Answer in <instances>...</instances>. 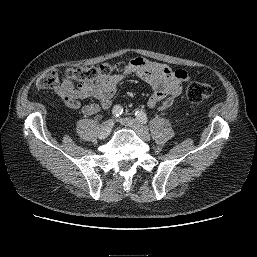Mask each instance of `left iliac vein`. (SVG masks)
Masks as SVG:
<instances>
[{
    "label": "left iliac vein",
    "instance_id": "obj_1",
    "mask_svg": "<svg viewBox=\"0 0 257 257\" xmlns=\"http://www.w3.org/2000/svg\"><path fill=\"white\" fill-rule=\"evenodd\" d=\"M120 121L122 125L134 130L142 140L149 141L151 139V136L148 130L142 124H140L136 119L128 117V118H122Z\"/></svg>",
    "mask_w": 257,
    "mask_h": 257
}]
</instances>
